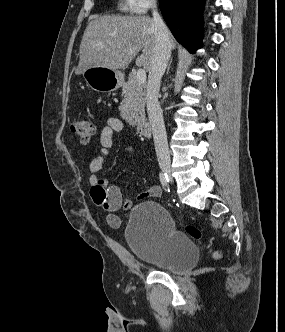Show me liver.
I'll use <instances>...</instances> for the list:
<instances>
[{
    "label": "liver",
    "mask_w": 285,
    "mask_h": 332,
    "mask_svg": "<svg viewBox=\"0 0 285 332\" xmlns=\"http://www.w3.org/2000/svg\"><path fill=\"white\" fill-rule=\"evenodd\" d=\"M153 19L147 16H100L86 27L79 49V64L75 73L91 67L118 70L128 65L136 55V65L149 71L155 52ZM171 48L175 41L170 36Z\"/></svg>",
    "instance_id": "liver-1"
}]
</instances>
